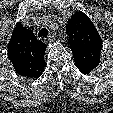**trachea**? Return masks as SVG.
<instances>
[{
  "mask_svg": "<svg viewBox=\"0 0 113 113\" xmlns=\"http://www.w3.org/2000/svg\"><path fill=\"white\" fill-rule=\"evenodd\" d=\"M39 37H47L48 36V30L46 28H42L39 33H38Z\"/></svg>",
  "mask_w": 113,
  "mask_h": 113,
  "instance_id": "1",
  "label": "trachea"
}]
</instances>
